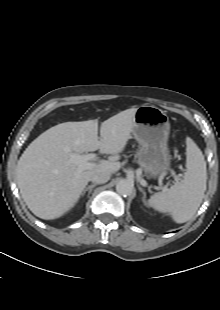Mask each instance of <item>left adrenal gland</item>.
<instances>
[{"instance_id": "left-adrenal-gland-1", "label": "left adrenal gland", "mask_w": 220, "mask_h": 310, "mask_svg": "<svg viewBox=\"0 0 220 310\" xmlns=\"http://www.w3.org/2000/svg\"><path fill=\"white\" fill-rule=\"evenodd\" d=\"M139 190L143 193V202H144V204H146V193H145V191L142 189V188H139Z\"/></svg>"}]
</instances>
